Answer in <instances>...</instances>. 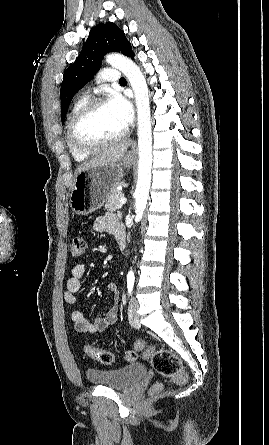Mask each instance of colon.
Listing matches in <instances>:
<instances>
[{
    "mask_svg": "<svg viewBox=\"0 0 269 445\" xmlns=\"http://www.w3.org/2000/svg\"><path fill=\"white\" fill-rule=\"evenodd\" d=\"M86 246L87 241L84 237H75L71 243V255L74 258L81 257L85 252ZM135 347L136 351L141 352L145 359L150 360L158 374L178 383L185 381L186 374L183 371L182 363L173 352L167 349H156L152 346H147L143 341H137ZM84 351L92 359L106 365L114 363L117 359L115 354L92 346H86ZM136 351H125L121 356L122 360L127 363H133L137 359ZM160 389H162V384L156 383L154 390L158 391Z\"/></svg>",
    "mask_w": 269,
    "mask_h": 445,
    "instance_id": "1",
    "label": "colon"
}]
</instances>
